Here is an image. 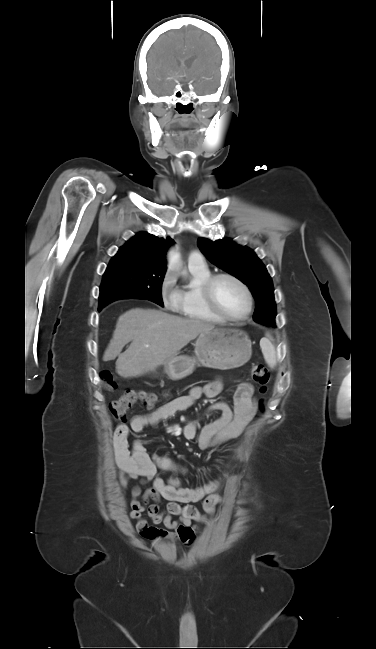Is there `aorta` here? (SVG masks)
Returning <instances> with one entry per match:
<instances>
[{"label":"aorta","instance_id":"762f6f07","mask_svg":"<svg viewBox=\"0 0 376 649\" xmlns=\"http://www.w3.org/2000/svg\"><path fill=\"white\" fill-rule=\"evenodd\" d=\"M179 259V254L177 250H173L169 254V265L170 267H176L177 261Z\"/></svg>","mask_w":376,"mask_h":649}]
</instances>
